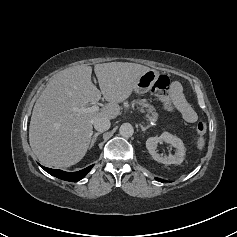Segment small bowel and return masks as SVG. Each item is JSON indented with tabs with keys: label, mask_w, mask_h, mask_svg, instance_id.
<instances>
[{
	"label": "small bowel",
	"mask_w": 237,
	"mask_h": 237,
	"mask_svg": "<svg viewBox=\"0 0 237 237\" xmlns=\"http://www.w3.org/2000/svg\"><path fill=\"white\" fill-rule=\"evenodd\" d=\"M172 100L176 108L180 111L182 118L188 123H194L197 120L196 111L186 101L182 93V86L175 82L171 87Z\"/></svg>",
	"instance_id": "obj_1"
}]
</instances>
